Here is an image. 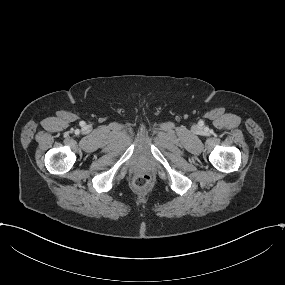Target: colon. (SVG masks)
Wrapping results in <instances>:
<instances>
[{
	"instance_id": "5ec220e1",
	"label": "colon",
	"mask_w": 285,
	"mask_h": 285,
	"mask_svg": "<svg viewBox=\"0 0 285 285\" xmlns=\"http://www.w3.org/2000/svg\"><path fill=\"white\" fill-rule=\"evenodd\" d=\"M153 184V177L149 172L142 171L137 173L133 178V185L139 190H147Z\"/></svg>"
}]
</instances>
